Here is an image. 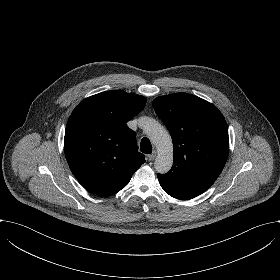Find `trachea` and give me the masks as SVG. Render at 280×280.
Instances as JSON below:
<instances>
[{
	"label": "trachea",
	"mask_w": 280,
	"mask_h": 280,
	"mask_svg": "<svg viewBox=\"0 0 280 280\" xmlns=\"http://www.w3.org/2000/svg\"><path fill=\"white\" fill-rule=\"evenodd\" d=\"M140 150H141V152H143L145 154H150L152 152V145L148 138L144 137L141 140Z\"/></svg>",
	"instance_id": "3493384b"
}]
</instances>
